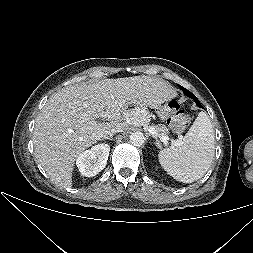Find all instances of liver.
Here are the masks:
<instances>
[{"label":"liver","mask_w":253,"mask_h":253,"mask_svg":"<svg viewBox=\"0 0 253 253\" xmlns=\"http://www.w3.org/2000/svg\"><path fill=\"white\" fill-rule=\"evenodd\" d=\"M176 96L168 82L148 76L65 87L51 95L37 116L35 157L56 185L69 188L75 160L85 149L106 131L144 125L149 118L146 107L156 108Z\"/></svg>","instance_id":"liver-1"}]
</instances>
